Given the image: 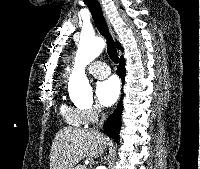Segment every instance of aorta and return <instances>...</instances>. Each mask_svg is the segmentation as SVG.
Returning <instances> with one entry per match:
<instances>
[{"mask_svg": "<svg viewBox=\"0 0 200 169\" xmlns=\"http://www.w3.org/2000/svg\"><path fill=\"white\" fill-rule=\"evenodd\" d=\"M105 42L100 37L93 35H82L78 44L74 68L68 82V89L71 98L78 102L82 99L92 100V88L85 75V67L101 54ZM97 169H102L99 167Z\"/></svg>", "mask_w": 200, "mask_h": 169, "instance_id": "aorta-1", "label": "aorta"}]
</instances>
